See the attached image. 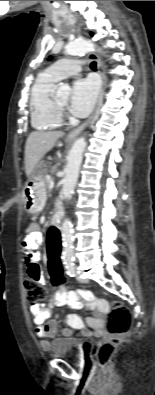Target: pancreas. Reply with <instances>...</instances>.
<instances>
[{"mask_svg": "<svg viewBox=\"0 0 155 395\" xmlns=\"http://www.w3.org/2000/svg\"><path fill=\"white\" fill-rule=\"evenodd\" d=\"M51 181H53L52 178H50V177H44V184H45V187L47 188L48 191L50 190L49 185H50V182H51Z\"/></svg>", "mask_w": 155, "mask_h": 395, "instance_id": "obj_1", "label": "pancreas"}]
</instances>
